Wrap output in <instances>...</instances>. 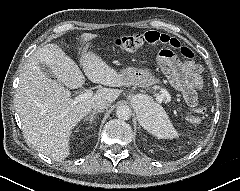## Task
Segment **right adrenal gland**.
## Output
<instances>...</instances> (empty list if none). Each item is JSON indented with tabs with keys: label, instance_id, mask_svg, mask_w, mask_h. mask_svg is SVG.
I'll return each mask as SVG.
<instances>
[{
	"label": "right adrenal gland",
	"instance_id": "obj_1",
	"mask_svg": "<svg viewBox=\"0 0 240 191\" xmlns=\"http://www.w3.org/2000/svg\"><path fill=\"white\" fill-rule=\"evenodd\" d=\"M100 112L101 111H93L90 115H88L84 118V121L89 120V123L92 124V122L95 120L96 115ZM86 129H88V128H86Z\"/></svg>",
	"mask_w": 240,
	"mask_h": 191
}]
</instances>
